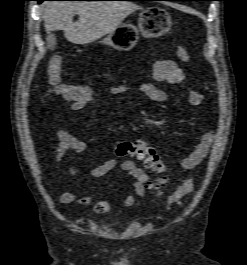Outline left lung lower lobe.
<instances>
[{
	"label": "left lung lower lobe",
	"mask_w": 247,
	"mask_h": 265,
	"mask_svg": "<svg viewBox=\"0 0 247 265\" xmlns=\"http://www.w3.org/2000/svg\"><path fill=\"white\" fill-rule=\"evenodd\" d=\"M166 1H200V0H166Z\"/></svg>",
	"instance_id": "obj_1"
}]
</instances>
